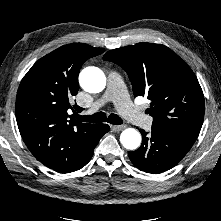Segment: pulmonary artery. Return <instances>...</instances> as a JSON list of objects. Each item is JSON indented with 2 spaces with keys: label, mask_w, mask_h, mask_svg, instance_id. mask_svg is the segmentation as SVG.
Wrapping results in <instances>:
<instances>
[{
  "label": "pulmonary artery",
  "mask_w": 221,
  "mask_h": 221,
  "mask_svg": "<svg viewBox=\"0 0 221 221\" xmlns=\"http://www.w3.org/2000/svg\"><path fill=\"white\" fill-rule=\"evenodd\" d=\"M110 101L115 103L118 111L128 121L144 128L150 127L152 118L130 101L122 78L115 72L108 75L107 88L102 97L92 105L91 111L99 109Z\"/></svg>",
  "instance_id": "1"
}]
</instances>
